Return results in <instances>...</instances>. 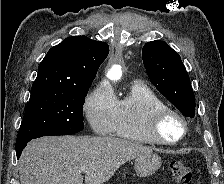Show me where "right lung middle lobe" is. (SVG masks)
Returning a JSON list of instances; mask_svg holds the SVG:
<instances>
[{"label":"right lung middle lobe","mask_w":224,"mask_h":184,"mask_svg":"<svg viewBox=\"0 0 224 184\" xmlns=\"http://www.w3.org/2000/svg\"><path fill=\"white\" fill-rule=\"evenodd\" d=\"M89 87L32 90L16 146L47 135H70L81 131L83 105Z\"/></svg>","instance_id":"obj_1"}]
</instances>
